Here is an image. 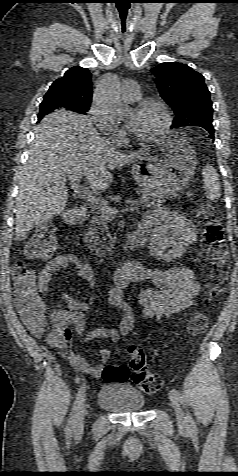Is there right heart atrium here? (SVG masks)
I'll return each mask as SVG.
<instances>
[{
	"label": "right heart atrium",
	"instance_id": "right-heart-atrium-1",
	"mask_svg": "<svg viewBox=\"0 0 238 476\" xmlns=\"http://www.w3.org/2000/svg\"><path fill=\"white\" fill-rule=\"evenodd\" d=\"M88 115L92 124L106 138L117 141L124 137V130L120 126L111 123L96 105H92L89 108Z\"/></svg>",
	"mask_w": 238,
	"mask_h": 476
}]
</instances>
